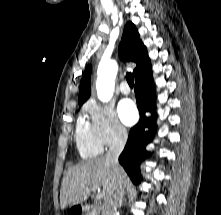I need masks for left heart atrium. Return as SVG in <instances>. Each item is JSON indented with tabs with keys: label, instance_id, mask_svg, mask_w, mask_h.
Returning a JSON list of instances; mask_svg holds the SVG:
<instances>
[{
	"label": "left heart atrium",
	"instance_id": "1",
	"mask_svg": "<svg viewBox=\"0 0 221 215\" xmlns=\"http://www.w3.org/2000/svg\"><path fill=\"white\" fill-rule=\"evenodd\" d=\"M119 117L126 125H132L137 120V110L133 101L125 99L118 107Z\"/></svg>",
	"mask_w": 221,
	"mask_h": 215
}]
</instances>
